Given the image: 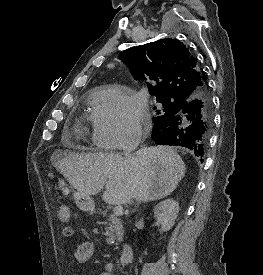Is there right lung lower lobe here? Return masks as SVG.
I'll use <instances>...</instances> for the list:
<instances>
[{"mask_svg":"<svg viewBox=\"0 0 263 275\" xmlns=\"http://www.w3.org/2000/svg\"><path fill=\"white\" fill-rule=\"evenodd\" d=\"M211 126V97L205 86L193 96L180 100L175 114L154 123L152 139L158 145L188 148L203 161Z\"/></svg>","mask_w":263,"mask_h":275,"instance_id":"obj_1","label":"right lung lower lobe"}]
</instances>
